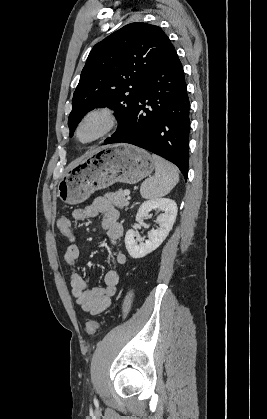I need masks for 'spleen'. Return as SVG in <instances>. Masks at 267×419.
<instances>
[{
  "label": "spleen",
  "mask_w": 267,
  "mask_h": 419,
  "mask_svg": "<svg viewBox=\"0 0 267 419\" xmlns=\"http://www.w3.org/2000/svg\"><path fill=\"white\" fill-rule=\"evenodd\" d=\"M152 159L155 165V174L145 180L140 188L141 196L145 199L165 196L179 182V174L173 164L157 155H152Z\"/></svg>",
  "instance_id": "1"
}]
</instances>
